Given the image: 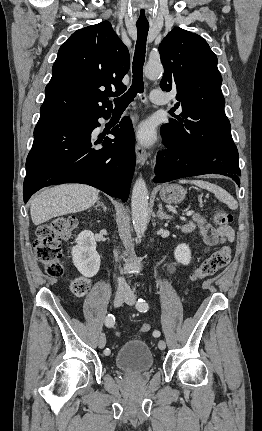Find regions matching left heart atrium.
<instances>
[{"label":"left heart atrium","instance_id":"39dd6f15","mask_svg":"<svg viewBox=\"0 0 262 431\" xmlns=\"http://www.w3.org/2000/svg\"><path fill=\"white\" fill-rule=\"evenodd\" d=\"M137 135L140 141L145 145H149L154 141L153 127L147 123H143L139 126Z\"/></svg>","mask_w":262,"mask_h":431}]
</instances>
